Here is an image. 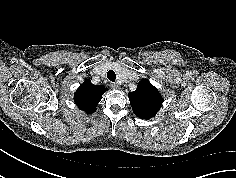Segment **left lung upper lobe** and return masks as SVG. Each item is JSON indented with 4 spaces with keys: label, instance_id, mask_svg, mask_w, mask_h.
Wrapping results in <instances>:
<instances>
[{
    "label": "left lung upper lobe",
    "instance_id": "5c2ea615",
    "mask_svg": "<svg viewBox=\"0 0 236 178\" xmlns=\"http://www.w3.org/2000/svg\"><path fill=\"white\" fill-rule=\"evenodd\" d=\"M129 100L135 115L142 119L154 117L163 101L158 89L145 79L139 82L134 92L129 93Z\"/></svg>",
    "mask_w": 236,
    "mask_h": 178
}]
</instances>
